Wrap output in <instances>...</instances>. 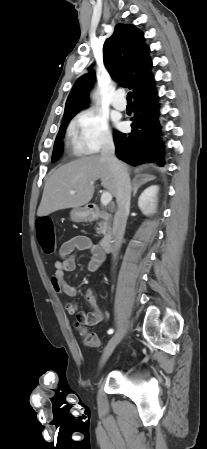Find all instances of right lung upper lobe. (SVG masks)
<instances>
[{"label": "right lung upper lobe", "instance_id": "obj_1", "mask_svg": "<svg viewBox=\"0 0 207 449\" xmlns=\"http://www.w3.org/2000/svg\"><path fill=\"white\" fill-rule=\"evenodd\" d=\"M149 53L150 49L144 43V34L127 24H117L112 36L104 43L103 60L106 69L115 81L133 90V97L154 87ZM89 77V73L85 74L75 82L65 104L63 120L73 117L87 106L91 89Z\"/></svg>", "mask_w": 207, "mask_h": 449}]
</instances>
